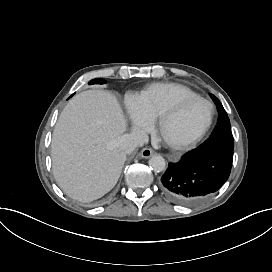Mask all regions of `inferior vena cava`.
Listing matches in <instances>:
<instances>
[{
	"label": "inferior vena cava",
	"mask_w": 272,
	"mask_h": 272,
	"mask_svg": "<svg viewBox=\"0 0 272 272\" xmlns=\"http://www.w3.org/2000/svg\"><path fill=\"white\" fill-rule=\"evenodd\" d=\"M149 140L148 135L142 130L125 134L117 140V146L125 153H131L136 147L143 146Z\"/></svg>",
	"instance_id": "inferior-vena-cava-1"
}]
</instances>
